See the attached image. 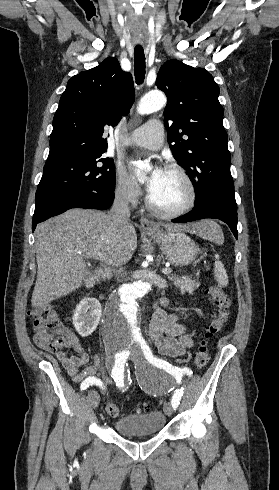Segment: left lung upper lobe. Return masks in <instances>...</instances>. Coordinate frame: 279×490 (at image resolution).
Wrapping results in <instances>:
<instances>
[{
	"mask_svg": "<svg viewBox=\"0 0 279 490\" xmlns=\"http://www.w3.org/2000/svg\"><path fill=\"white\" fill-rule=\"evenodd\" d=\"M156 85L168 98L164 110L168 142L195 188V206L210 195L236 204L223 108L212 75L169 60L161 66Z\"/></svg>",
	"mask_w": 279,
	"mask_h": 490,
	"instance_id": "left-lung-upper-lobe-1",
	"label": "left lung upper lobe"
}]
</instances>
